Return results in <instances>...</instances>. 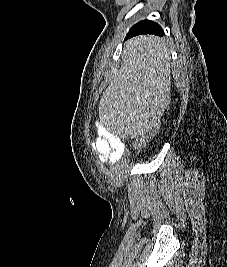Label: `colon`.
<instances>
[{
  "label": "colon",
  "instance_id": "obj_1",
  "mask_svg": "<svg viewBox=\"0 0 227 267\" xmlns=\"http://www.w3.org/2000/svg\"><path fill=\"white\" fill-rule=\"evenodd\" d=\"M156 120L153 125H151L152 130H147L146 134L141 138L138 139L135 143V148L131 150L129 155H127V160H130V163H133L136 158H140V156L143 155L144 152L147 151L148 144L151 143V140L155 139V136L157 135L156 131H161L162 127V120H159V118L163 117V114L160 113V115H154Z\"/></svg>",
  "mask_w": 227,
  "mask_h": 267
}]
</instances>
